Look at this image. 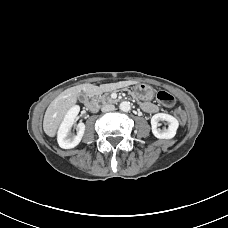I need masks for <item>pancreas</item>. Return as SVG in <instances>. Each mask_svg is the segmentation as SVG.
<instances>
[{
    "instance_id": "1",
    "label": "pancreas",
    "mask_w": 228,
    "mask_h": 228,
    "mask_svg": "<svg viewBox=\"0 0 228 228\" xmlns=\"http://www.w3.org/2000/svg\"><path fill=\"white\" fill-rule=\"evenodd\" d=\"M117 91H123V92H127V93H131L133 96V93L130 90L127 89H123V90H117ZM134 97V96H133ZM136 99V97H134ZM98 100L102 103V104H108V103H115L116 100H113L110 96L109 93H105L104 95L100 96L98 98ZM137 100V99H136ZM138 102V100H137ZM139 104H141L140 102H138Z\"/></svg>"
}]
</instances>
